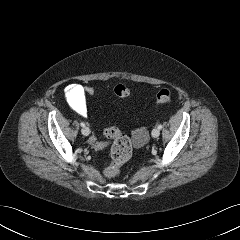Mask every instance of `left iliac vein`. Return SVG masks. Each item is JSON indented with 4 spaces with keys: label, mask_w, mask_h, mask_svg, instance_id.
Listing matches in <instances>:
<instances>
[{
    "label": "left iliac vein",
    "mask_w": 240,
    "mask_h": 240,
    "mask_svg": "<svg viewBox=\"0 0 240 240\" xmlns=\"http://www.w3.org/2000/svg\"><path fill=\"white\" fill-rule=\"evenodd\" d=\"M159 135H160V130H159L158 128H154V129L152 130V136H153L154 138H157Z\"/></svg>",
    "instance_id": "4c4485c4"
}]
</instances>
